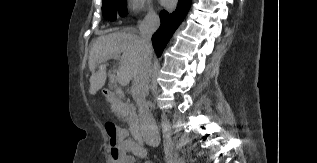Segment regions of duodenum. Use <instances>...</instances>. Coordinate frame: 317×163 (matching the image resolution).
Instances as JSON below:
<instances>
[{"instance_id": "1", "label": "duodenum", "mask_w": 317, "mask_h": 163, "mask_svg": "<svg viewBox=\"0 0 317 163\" xmlns=\"http://www.w3.org/2000/svg\"><path fill=\"white\" fill-rule=\"evenodd\" d=\"M103 95L106 97V99L110 102H115L119 99V94L114 92V91H111V90H103ZM130 132L134 138V142L142 147H143V144L145 142V139H144V136H143V133H142V130H141V127L138 123L136 122H132L130 124Z\"/></svg>"}]
</instances>
